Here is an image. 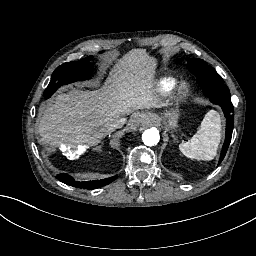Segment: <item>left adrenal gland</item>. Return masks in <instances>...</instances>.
Instances as JSON below:
<instances>
[{
	"mask_svg": "<svg viewBox=\"0 0 256 256\" xmlns=\"http://www.w3.org/2000/svg\"><path fill=\"white\" fill-rule=\"evenodd\" d=\"M172 138H173L174 140H177V137H176L175 135H172Z\"/></svg>",
	"mask_w": 256,
	"mask_h": 256,
	"instance_id": "left-adrenal-gland-1",
	"label": "left adrenal gland"
}]
</instances>
